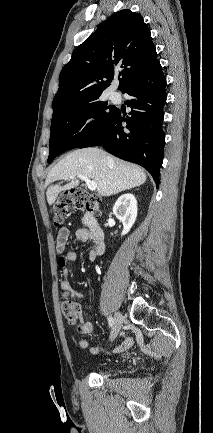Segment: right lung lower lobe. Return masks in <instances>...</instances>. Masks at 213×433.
Masks as SVG:
<instances>
[{"label":"right lung lower lobe","mask_w":213,"mask_h":433,"mask_svg":"<svg viewBox=\"0 0 213 433\" xmlns=\"http://www.w3.org/2000/svg\"><path fill=\"white\" fill-rule=\"evenodd\" d=\"M165 86L166 79L156 58L121 90L132 96L128 101L130 116L124 118L116 110L103 130L77 148L103 145L109 153L144 167L158 186L165 145L161 125ZM122 122L127 123L126 127H122Z\"/></svg>","instance_id":"1"}]
</instances>
